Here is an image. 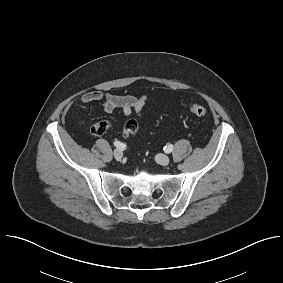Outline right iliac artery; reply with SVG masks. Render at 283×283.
Here are the masks:
<instances>
[{"mask_svg":"<svg viewBox=\"0 0 283 283\" xmlns=\"http://www.w3.org/2000/svg\"><path fill=\"white\" fill-rule=\"evenodd\" d=\"M114 145H115L116 147H118L119 149H121V150H124V149H125V145H124L123 143L119 142V141H115V142H114Z\"/></svg>","mask_w":283,"mask_h":283,"instance_id":"82829eb1","label":"right iliac artery"}]
</instances>
